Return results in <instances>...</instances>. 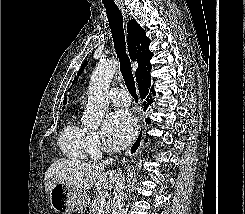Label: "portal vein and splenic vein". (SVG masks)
<instances>
[{
	"label": "portal vein and splenic vein",
	"instance_id": "portal-vein-and-splenic-vein-1",
	"mask_svg": "<svg viewBox=\"0 0 245 214\" xmlns=\"http://www.w3.org/2000/svg\"><path fill=\"white\" fill-rule=\"evenodd\" d=\"M108 203L106 202L104 197H101L99 200V205L97 207V210L100 211L102 210Z\"/></svg>",
	"mask_w": 245,
	"mask_h": 214
}]
</instances>
